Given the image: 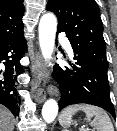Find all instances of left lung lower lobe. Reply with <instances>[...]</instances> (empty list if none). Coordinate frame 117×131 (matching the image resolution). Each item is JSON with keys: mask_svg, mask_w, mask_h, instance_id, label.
Wrapping results in <instances>:
<instances>
[{"mask_svg": "<svg viewBox=\"0 0 117 131\" xmlns=\"http://www.w3.org/2000/svg\"><path fill=\"white\" fill-rule=\"evenodd\" d=\"M60 32L58 29L57 34ZM73 60L71 68L56 65L52 74L61 87L59 111L71 104L86 103L105 109L115 119L107 75L76 54Z\"/></svg>", "mask_w": 117, "mask_h": 131, "instance_id": "0a47b994", "label": "left lung lower lobe"}]
</instances>
